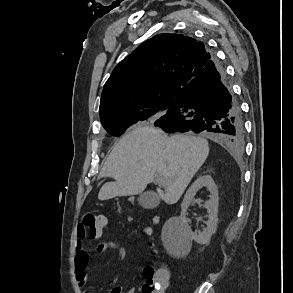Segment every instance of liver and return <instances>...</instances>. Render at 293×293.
<instances>
[{"instance_id":"liver-1","label":"liver","mask_w":293,"mask_h":293,"mask_svg":"<svg viewBox=\"0 0 293 293\" xmlns=\"http://www.w3.org/2000/svg\"><path fill=\"white\" fill-rule=\"evenodd\" d=\"M209 154L204 138L174 135L168 137L158 128L139 125L114 146L100 177L115 181L104 184L99 200L142 193L156 175H161L165 191L157 188L160 198L175 204Z\"/></svg>"}]
</instances>
